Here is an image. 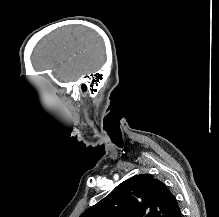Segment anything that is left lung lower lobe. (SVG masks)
<instances>
[{"label": "left lung lower lobe", "instance_id": "0a47b994", "mask_svg": "<svg viewBox=\"0 0 219 217\" xmlns=\"http://www.w3.org/2000/svg\"><path fill=\"white\" fill-rule=\"evenodd\" d=\"M176 217H183L181 211L176 215Z\"/></svg>", "mask_w": 219, "mask_h": 217}]
</instances>
